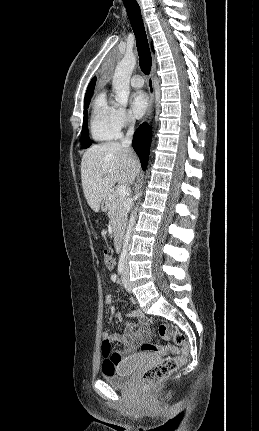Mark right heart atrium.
<instances>
[{
    "instance_id": "1",
    "label": "right heart atrium",
    "mask_w": 259,
    "mask_h": 431,
    "mask_svg": "<svg viewBox=\"0 0 259 431\" xmlns=\"http://www.w3.org/2000/svg\"><path fill=\"white\" fill-rule=\"evenodd\" d=\"M113 121L119 130L128 128L134 124V118L131 113L122 107L114 108Z\"/></svg>"
}]
</instances>
